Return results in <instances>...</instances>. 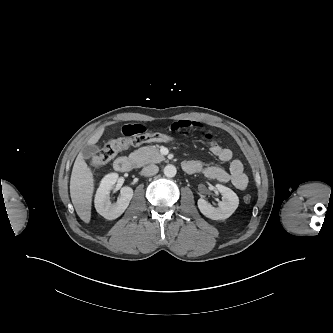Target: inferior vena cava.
<instances>
[{
    "label": "inferior vena cava",
    "mask_w": 333,
    "mask_h": 333,
    "mask_svg": "<svg viewBox=\"0 0 333 333\" xmlns=\"http://www.w3.org/2000/svg\"><path fill=\"white\" fill-rule=\"evenodd\" d=\"M158 171H159L158 166L151 164V165L145 166L142 169V174L146 177H150V176L156 175L158 173Z\"/></svg>",
    "instance_id": "inferior-vena-cava-1"
}]
</instances>
